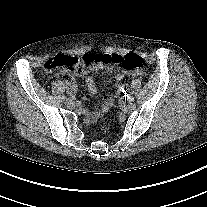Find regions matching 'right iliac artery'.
Segmentation results:
<instances>
[{"instance_id":"1","label":"right iliac artery","mask_w":207,"mask_h":207,"mask_svg":"<svg viewBox=\"0 0 207 207\" xmlns=\"http://www.w3.org/2000/svg\"><path fill=\"white\" fill-rule=\"evenodd\" d=\"M62 99L65 101L66 100V96H62Z\"/></svg>"}]
</instances>
